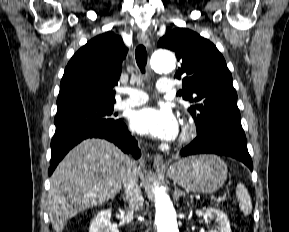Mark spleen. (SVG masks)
Returning <instances> with one entry per match:
<instances>
[{"instance_id":"obj_1","label":"spleen","mask_w":289,"mask_h":232,"mask_svg":"<svg viewBox=\"0 0 289 232\" xmlns=\"http://www.w3.org/2000/svg\"><path fill=\"white\" fill-rule=\"evenodd\" d=\"M236 196L239 200V207L241 211L246 215L251 214V211H252L251 198L248 193V190L242 183L237 184Z\"/></svg>"}]
</instances>
